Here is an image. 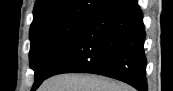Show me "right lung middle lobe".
<instances>
[{
	"mask_svg": "<svg viewBox=\"0 0 173 91\" xmlns=\"http://www.w3.org/2000/svg\"><path fill=\"white\" fill-rule=\"evenodd\" d=\"M90 17H73L42 22L30 28V65L34 87L46 78L50 67Z\"/></svg>",
	"mask_w": 173,
	"mask_h": 91,
	"instance_id": "dd1d6c3e",
	"label": "right lung middle lobe"
}]
</instances>
